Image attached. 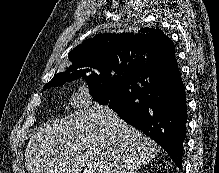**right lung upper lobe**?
<instances>
[{
  "label": "right lung upper lobe",
  "mask_w": 219,
  "mask_h": 173,
  "mask_svg": "<svg viewBox=\"0 0 219 173\" xmlns=\"http://www.w3.org/2000/svg\"><path fill=\"white\" fill-rule=\"evenodd\" d=\"M174 54L173 41L158 29L142 28L137 34H98L70 51L68 57L73 65L69 71H73L70 75L86 77L87 72L90 74L106 64L132 63L138 66L151 59L159 63H170L175 58ZM81 67L90 69L76 70ZM61 74H57L45 86L54 83Z\"/></svg>",
  "instance_id": "right-lung-upper-lobe-1"
}]
</instances>
